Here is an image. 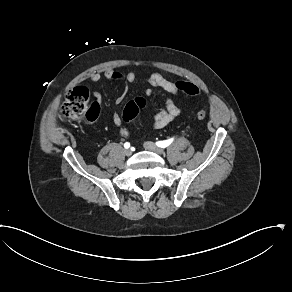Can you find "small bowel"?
Wrapping results in <instances>:
<instances>
[{
	"instance_id": "obj_1",
	"label": "small bowel",
	"mask_w": 292,
	"mask_h": 292,
	"mask_svg": "<svg viewBox=\"0 0 292 292\" xmlns=\"http://www.w3.org/2000/svg\"><path fill=\"white\" fill-rule=\"evenodd\" d=\"M103 78L107 80L121 81L126 85V88L122 94L117 96L115 102L116 104H121L127 93V85L136 83L138 81V76L134 71H117L114 69H106L104 72H92L89 76V81L91 84H97ZM146 83L149 85L145 89V95L151 96L153 94V89L160 88L165 92L171 94L172 96L178 97L181 94V91L178 89L175 82L167 79L164 75L159 72H152L146 78ZM94 98L97 102H100L102 95L99 91L92 89L91 90ZM180 114V107L177 105L172 98L168 97L160 110L155 114L154 119L151 123V129H161L173 122L176 117ZM113 123L118 128L119 132L128 136L129 131L123 125L122 119L119 113H114Z\"/></svg>"
}]
</instances>
